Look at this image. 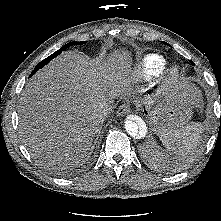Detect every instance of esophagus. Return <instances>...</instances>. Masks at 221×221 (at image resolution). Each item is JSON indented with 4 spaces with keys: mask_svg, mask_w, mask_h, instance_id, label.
<instances>
[{
    "mask_svg": "<svg viewBox=\"0 0 221 221\" xmlns=\"http://www.w3.org/2000/svg\"><path fill=\"white\" fill-rule=\"evenodd\" d=\"M131 111L130 105L128 103L122 104L117 110V116H125Z\"/></svg>",
    "mask_w": 221,
    "mask_h": 221,
    "instance_id": "1",
    "label": "esophagus"
}]
</instances>
